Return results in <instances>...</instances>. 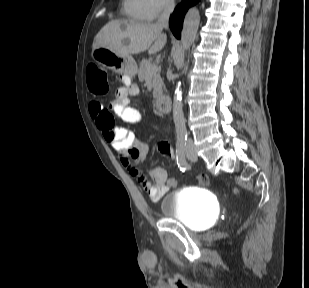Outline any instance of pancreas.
Segmentation results:
<instances>
[{"label":"pancreas","mask_w":309,"mask_h":288,"mask_svg":"<svg viewBox=\"0 0 309 288\" xmlns=\"http://www.w3.org/2000/svg\"><path fill=\"white\" fill-rule=\"evenodd\" d=\"M154 64L149 59H143L140 63L139 71H138V78L139 80L145 81L148 76L152 78V86H153V98L158 99L162 96L164 83L158 71L153 74H148V69L152 67Z\"/></svg>","instance_id":"cf45deb5"}]
</instances>
